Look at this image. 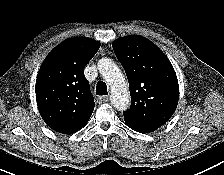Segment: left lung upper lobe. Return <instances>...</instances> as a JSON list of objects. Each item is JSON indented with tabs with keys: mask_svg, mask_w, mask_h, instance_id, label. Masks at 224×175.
<instances>
[{
	"mask_svg": "<svg viewBox=\"0 0 224 175\" xmlns=\"http://www.w3.org/2000/svg\"><path fill=\"white\" fill-rule=\"evenodd\" d=\"M129 82L132 99L125 123L162 126L173 115L179 99L178 80L168 58L148 39L132 35L112 43Z\"/></svg>",
	"mask_w": 224,
	"mask_h": 175,
	"instance_id": "left-lung-upper-lobe-1",
	"label": "left lung upper lobe"
}]
</instances>
